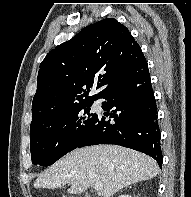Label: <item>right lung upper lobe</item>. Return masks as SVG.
I'll return each mask as SVG.
<instances>
[{"mask_svg":"<svg viewBox=\"0 0 191 197\" xmlns=\"http://www.w3.org/2000/svg\"><path fill=\"white\" fill-rule=\"evenodd\" d=\"M146 65L140 46L116 19H103L83 28L41 62L31 128L57 113L98 99L107 88ZM93 85L99 92L89 97Z\"/></svg>","mask_w":191,"mask_h":197,"instance_id":"obj_1","label":"right lung upper lobe"}]
</instances>
